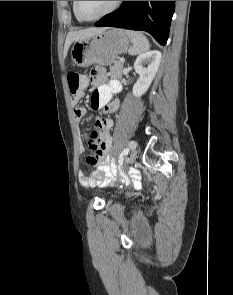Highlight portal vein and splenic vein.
Returning a JSON list of instances; mask_svg holds the SVG:
<instances>
[{"mask_svg":"<svg viewBox=\"0 0 233 295\" xmlns=\"http://www.w3.org/2000/svg\"><path fill=\"white\" fill-rule=\"evenodd\" d=\"M120 61L124 62V58H120Z\"/></svg>","mask_w":233,"mask_h":295,"instance_id":"obj_1","label":"portal vein and splenic vein"}]
</instances>
